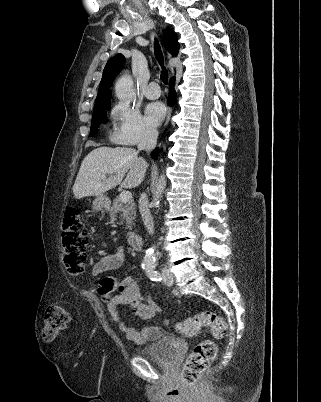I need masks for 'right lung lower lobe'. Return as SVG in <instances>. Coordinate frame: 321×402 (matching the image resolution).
I'll return each mask as SVG.
<instances>
[{"label": "right lung lower lobe", "mask_w": 321, "mask_h": 402, "mask_svg": "<svg viewBox=\"0 0 321 402\" xmlns=\"http://www.w3.org/2000/svg\"><path fill=\"white\" fill-rule=\"evenodd\" d=\"M174 80L175 79L172 78L171 81H170V92H169V99H168V104L170 106H172L174 104L175 99H176V92L174 90ZM158 152H159L158 148L155 149L151 154L152 158L157 159Z\"/></svg>", "instance_id": "obj_1"}]
</instances>
